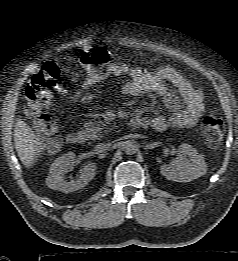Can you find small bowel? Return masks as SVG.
<instances>
[{
	"label": "small bowel",
	"mask_w": 238,
	"mask_h": 261,
	"mask_svg": "<svg viewBox=\"0 0 238 261\" xmlns=\"http://www.w3.org/2000/svg\"><path fill=\"white\" fill-rule=\"evenodd\" d=\"M127 76L128 81L122 91L128 96L142 94H158L163 103L170 110L169 117L157 115L147 120L155 131L162 132L169 126L175 128L192 127L197 124L204 111L202 92L179 71L170 66H164L156 71H148L140 67H130L124 63H113L102 75H90L82 84L80 90L73 95L75 100L89 103L93 95L88 93L91 87L102 83L107 77ZM170 83L180 94L182 101L167 87ZM146 124V125H147Z\"/></svg>",
	"instance_id": "obj_1"
}]
</instances>
